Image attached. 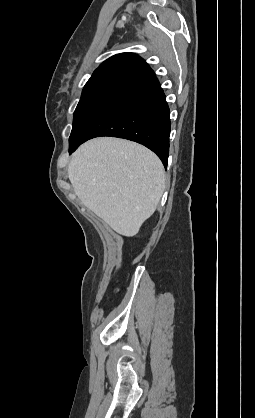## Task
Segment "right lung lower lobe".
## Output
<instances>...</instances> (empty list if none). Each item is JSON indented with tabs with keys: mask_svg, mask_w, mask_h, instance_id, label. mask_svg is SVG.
Returning <instances> with one entry per match:
<instances>
[{
	"mask_svg": "<svg viewBox=\"0 0 255 418\" xmlns=\"http://www.w3.org/2000/svg\"><path fill=\"white\" fill-rule=\"evenodd\" d=\"M169 114L159 81L151 76L113 96L94 115L80 137L69 145V152L94 137H119L146 146L167 167L171 128Z\"/></svg>",
	"mask_w": 255,
	"mask_h": 418,
	"instance_id": "1",
	"label": "right lung lower lobe"
}]
</instances>
